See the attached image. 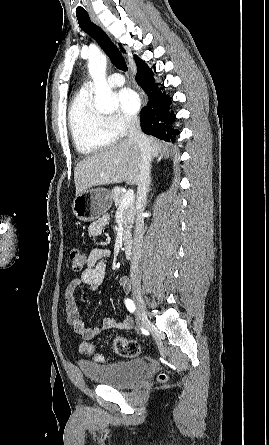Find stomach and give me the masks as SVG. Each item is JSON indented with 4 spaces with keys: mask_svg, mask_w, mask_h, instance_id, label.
<instances>
[{
    "mask_svg": "<svg viewBox=\"0 0 269 445\" xmlns=\"http://www.w3.org/2000/svg\"><path fill=\"white\" fill-rule=\"evenodd\" d=\"M112 206V196L104 188L92 189L76 195L72 209L74 215L83 222H92L103 216Z\"/></svg>",
    "mask_w": 269,
    "mask_h": 445,
    "instance_id": "stomach-1",
    "label": "stomach"
}]
</instances>
